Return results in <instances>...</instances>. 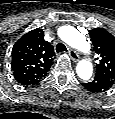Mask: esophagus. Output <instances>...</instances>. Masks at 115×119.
<instances>
[{
	"instance_id": "1",
	"label": "esophagus",
	"mask_w": 115,
	"mask_h": 119,
	"mask_svg": "<svg viewBox=\"0 0 115 119\" xmlns=\"http://www.w3.org/2000/svg\"><path fill=\"white\" fill-rule=\"evenodd\" d=\"M68 54L70 56V58L74 61L77 62L79 59V55L77 53V51H75L74 49L70 48L68 51Z\"/></svg>"
}]
</instances>
